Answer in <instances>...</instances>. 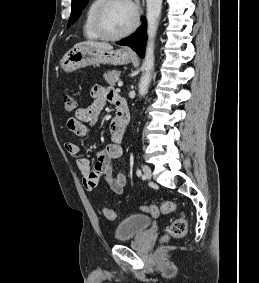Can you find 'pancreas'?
<instances>
[{
  "label": "pancreas",
  "instance_id": "obj_1",
  "mask_svg": "<svg viewBox=\"0 0 259 283\" xmlns=\"http://www.w3.org/2000/svg\"><path fill=\"white\" fill-rule=\"evenodd\" d=\"M121 72L119 70H110L104 74L105 81L109 84L114 86L115 83L118 81V77L120 76Z\"/></svg>",
  "mask_w": 259,
  "mask_h": 283
}]
</instances>
